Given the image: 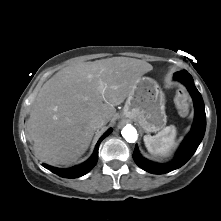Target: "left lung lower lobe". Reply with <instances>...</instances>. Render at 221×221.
<instances>
[{"mask_svg":"<svg viewBox=\"0 0 221 221\" xmlns=\"http://www.w3.org/2000/svg\"><path fill=\"white\" fill-rule=\"evenodd\" d=\"M175 79L182 82L190 92L195 107V118L190 133L179 147L176 158L169 164H158L151 162L139 153L137 145L133 153V159L136 164L145 171L153 174H164L183 166L195 153L200 142L203 139L206 128V115L204 102L201 94L196 89L192 76L188 72H180L174 75Z\"/></svg>","mask_w":221,"mask_h":221,"instance_id":"1","label":"left lung lower lobe"}]
</instances>
